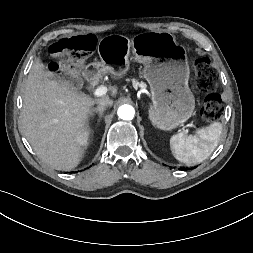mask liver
<instances>
[{"label": "liver", "instance_id": "obj_1", "mask_svg": "<svg viewBox=\"0 0 253 253\" xmlns=\"http://www.w3.org/2000/svg\"><path fill=\"white\" fill-rule=\"evenodd\" d=\"M116 93L113 89L111 94ZM98 101L68 83L51 80L40 62L33 64L26 80L21 124L42 162L63 171L79 165L88 146V118Z\"/></svg>", "mask_w": 253, "mask_h": 253}]
</instances>
